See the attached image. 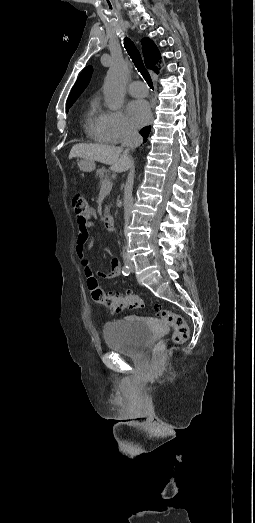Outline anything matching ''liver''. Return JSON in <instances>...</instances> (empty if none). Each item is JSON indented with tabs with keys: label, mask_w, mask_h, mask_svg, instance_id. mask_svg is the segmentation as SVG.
<instances>
[{
	"label": "liver",
	"mask_w": 255,
	"mask_h": 523,
	"mask_svg": "<svg viewBox=\"0 0 255 523\" xmlns=\"http://www.w3.org/2000/svg\"><path fill=\"white\" fill-rule=\"evenodd\" d=\"M122 148H115V146H101V144H75L73 146L69 158H85V160H93V162H101L110 166L112 172H126L131 166L130 160L126 158H119Z\"/></svg>",
	"instance_id": "1"
}]
</instances>
